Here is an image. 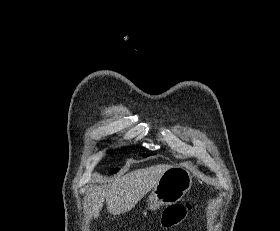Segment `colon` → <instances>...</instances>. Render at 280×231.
Wrapping results in <instances>:
<instances>
[{
	"mask_svg": "<svg viewBox=\"0 0 280 231\" xmlns=\"http://www.w3.org/2000/svg\"><path fill=\"white\" fill-rule=\"evenodd\" d=\"M199 198V196H193L184 205H175L174 208H167V211L163 212L164 220H161V225H168L164 231L177 230L178 226L174 225V220H185L186 215L190 213Z\"/></svg>",
	"mask_w": 280,
	"mask_h": 231,
	"instance_id": "obj_1",
	"label": "colon"
}]
</instances>
